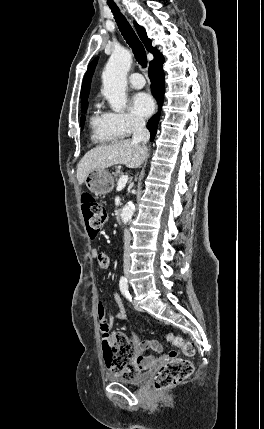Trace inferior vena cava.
Wrapping results in <instances>:
<instances>
[{
	"instance_id": "1",
	"label": "inferior vena cava",
	"mask_w": 264,
	"mask_h": 429,
	"mask_svg": "<svg viewBox=\"0 0 264 429\" xmlns=\"http://www.w3.org/2000/svg\"><path fill=\"white\" fill-rule=\"evenodd\" d=\"M150 138V133L146 128V123L143 118H136L134 120V127H133V136L132 141L133 143H141L143 147H146V143L148 142ZM127 228L124 229L125 232V244L123 245L124 248V271L127 272L130 269V229L128 228L130 225L127 223L125 225Z\"/></svg>"
}]
</instances>
